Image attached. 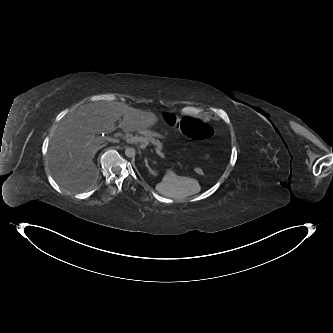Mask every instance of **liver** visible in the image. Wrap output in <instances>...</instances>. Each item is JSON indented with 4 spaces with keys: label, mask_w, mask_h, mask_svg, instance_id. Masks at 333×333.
Wrapping results in <instances>:
<instances>
[{
    "label": "liver",
    "mask_w": 333,
    "mask_h": 333,
    "mask_svg": "<svg viewBox=\"0 0 333 333\" xmlns=\"http://www.w3.org/2000/svg\"><path fill=\"white\" fill-rule=\"evenodd\" d=\"M121 117L119 128L125 132L144 130L158 121L153 112L121 102L85 104L62 119L48 150L49 166L60 186L74 191L93 186L98 179L93 158L101 144L95 136L114 132Z\"/></svg>",
    "instance_id": "liver-1"
}]
</instances>
